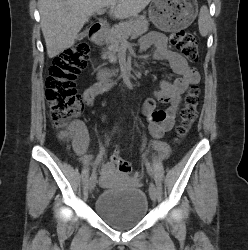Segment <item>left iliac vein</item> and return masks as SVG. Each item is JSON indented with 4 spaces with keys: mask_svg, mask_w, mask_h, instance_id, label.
Returning <instances> with one entry per match:
<instances>
[{
    "mask_svg": "<svg viewBox=\"0 0 248 250\" xmlns=\"http://www.w3.org/2000/svg\"><path fill=\"white\" fill-rule=\"evenodd\" d=\"M149 194H150V197L153 201L157 200L158 192H157L156 185L153 182H151L149 185Z\"/></svg>",
    "mask_w": 248,
    "mask_h": 250,
    "instance_id": "1",
    "label": "left iliac vein"
}]
</instances>
